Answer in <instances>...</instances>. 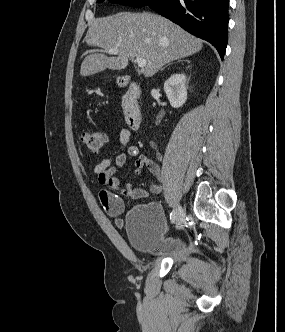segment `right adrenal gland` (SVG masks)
<instances>
[{
	"label": "right adrenal gland",
	"mask_w": 285,
	"mask_h": 332,
	"mask_svg": "<svg viewBox=\"0 0 285 332\" xmlns=\"http://www.w3.org/2000/svg\"><path fill=\"white\" fill-rule=\"evenodd\" d=\"M179 61H181V60H179ZM185 62L189 63V60H185ZM162 70H163V69H162Z\"/></svg>",
	"instance_id": "right-adrenal-gland-1"
}]
</instances>
